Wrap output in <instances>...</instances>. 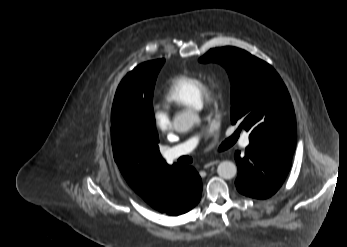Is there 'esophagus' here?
Instances as JSON below:
<instances>
[{"label":"esophagus","instance_id":"34e87169","mask_svg":"<svg viewBox=\"0 0 347 247\" xmlns=\"http://www.w3.org/2000/svg\"><path fill=\"white\" fill-rule=\"evenodd\" d=\"M219 163V160H210L204 164V168L207 169L213 165H217Z\"/></svg>","mask_w":347,"mask_h":247}]
</instances>
